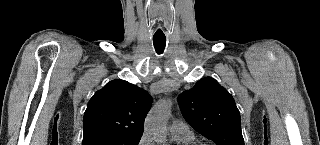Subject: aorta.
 Wrapping results in <instances>:
<instances>
[{
  "instance_id": "obj_1",
  "label": "aorta",
  "mask_w": 320,
  "mask_h": 145,
  "mask_svg": "<svg viewBox=\"0 0 320 145\" xmlns=\"http://www.w3.org/2000/svg\"><path fill=\"white\" fill-rule=\"evenodd\" d=\"M170 101L160 100L149 112L144 130L146 133L153 136L157 142H164L167 134L166 122L170 112Z\"/></svg>"
}]
</instances>
